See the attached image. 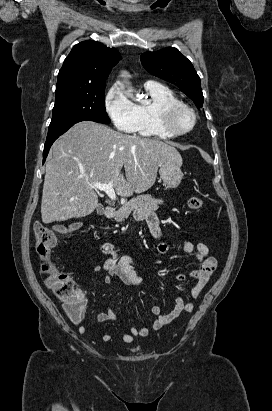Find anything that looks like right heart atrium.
Masks as SVG:
<instances>
[{
	"instance_id": "obj_1",
	"label": "right heart atrium",
	"mask_w": 272,
	"mask_h": 411,
	"mask_svg": "<svg viewBox=\"0 0 272 411\" xmlns=\"http://www.w3.org/2000/svg\"><path fill=\"white\" fill-rule=\"evenodd\" d=\"M104 108L119 131L125 133L135 131L137 122L136 107L121 86L114 84L108 89L104 98Z\"/></svg>"
}]
</instances>
